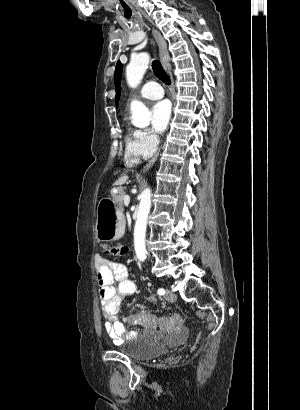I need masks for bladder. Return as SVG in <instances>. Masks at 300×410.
<instances>
[{"instance_id": "1", "label": "bladder", "mask_w": 300, "mask_h": 410, "mask_svg": "<svg viewBox=\"0 0 300 410\" xmlns=\"http://www.w3.org/2000/svg\"><path fill=\"white\" fill-rule=\"evenodd\" d=\"M166 346L159 341H137L125 349L126 355L133 361H143L163 353Z\"/></svg>"}]
</instances>
